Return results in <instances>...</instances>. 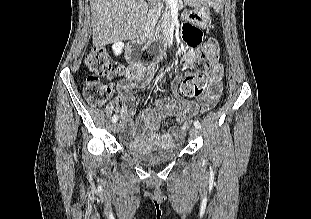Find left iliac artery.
Instances as JSON below:
<instances>
[{"label":"left iliac artery","instance_id":"obj_1","mask_svg":"<svg viewBox=\"0 0 311 219\" xmlns=\"http://www.w3.org/2000/svg\"><path fill=\"white\" fill-rule=\"evenodd\" d=\"M194 126L196 127V128H201V124H200V122L199 121H195L194 122Z\"/></svg>","mask_w":311,"mask_h":219}]
</instances>
